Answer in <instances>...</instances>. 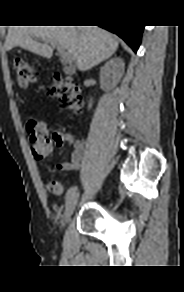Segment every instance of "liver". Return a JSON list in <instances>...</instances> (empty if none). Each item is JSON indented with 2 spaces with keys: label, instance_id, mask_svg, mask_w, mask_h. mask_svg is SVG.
I'll return each instance as SVG.
<instances>
[{
  "label": "liver",
  "instance_id": "1",
  "mask_svg": "<svg viewBox=\"0 0 184 292\" xmlns=\"http://www.w3.org/2000/svg\"><path fill=\"white\" fill-rule=\"evenodd\" d=\"M33 37L62 46L80 71L89 70L108 59L118 48L114 35L98 26H13L8 30L6 48L11 50L20 46L51 58L53 49Z\"/></svg>",
  "mask_w": 184,
  "mask_h": 292
}]
</instances>
